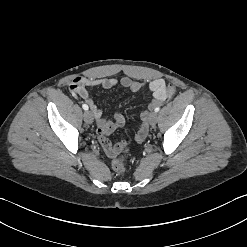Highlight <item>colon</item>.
<instances>
[{
	"instance_id": "1",
	"label": "colon",
	"mask_w": 247,
	"mask_h": 247,
	"mask_svg": "<svg viewBox=\"0 0 247 247\" xmlns=\"http://www.w3.org/2000/svg\"><path fill=\"white\" fill-rule=\"evenodd\" d=\"M167 97H170L173 94V88L172 86H167ZM103 136V134H101ZM116 155L117 157L114 158L112 161V168L117 173H123L125 172L127 168L126 160H125V154L128 152V148L125 144L120 143L116 146Z\"/></svg>"
}]
</instances>
